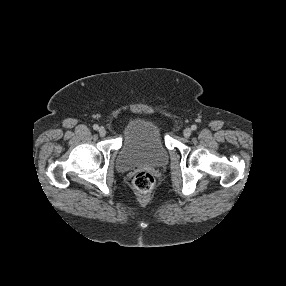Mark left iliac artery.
<instances>
[{
  "label": "left iliac artery",
  "instance_id": "44dca946",
  "mask_svg": "<svg viewBox=\"0 0 286 286\" xmlns=\"http://www.w3.org/2000/svg\"><path fill=\"white\" fill-rule=\"evenodd\" d=\"M191 129L195 131L197 129V126L196 125H192Z\"/></svg>",
  "mask_w": 286,
  "mask_h": 286
}]
</instances>
